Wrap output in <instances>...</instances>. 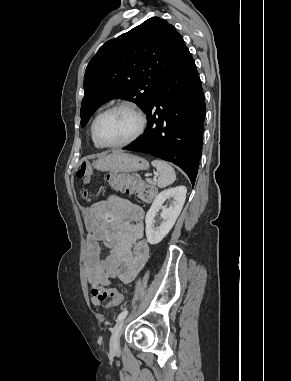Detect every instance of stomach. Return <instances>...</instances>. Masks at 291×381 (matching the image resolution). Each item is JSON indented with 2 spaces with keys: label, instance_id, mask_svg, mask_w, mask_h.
Returning a JSON list of instances; mask_svg holds the SVG:
<instances>
[{
  "label": "stomach",
  "instance_id": "stomach-1",
  "mask_svg": "<svg viewBox=\"0 0 291 381\" xmlns=\"http://www.w3.org/2000/svg\"><path fill=\"white\" fill-rule=\"evenodd\" d=\"M93 166L100 171L129 173L148 169L149 163L147 160L133 154L114 152L101 156L93 163Z\"/></svg>",
  "mask_w": 291,
  "mask_h": 381
}]
</instances>
